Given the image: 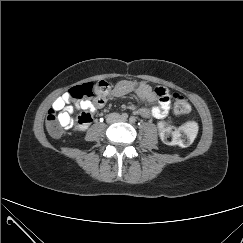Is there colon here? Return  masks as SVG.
<instances>
[{"mask_svg":"<svg viewBox=\"0 0 243 243\" xmlns=\"http://www.w3.org/2000/svg\"><path fill=\"white\" fill-rule=\"evenodd\" d=\"M111 86L107 81L101 80L97 83H84L72 87L68 93L72 99L88 100L94 95H105L109 93ZM155 93L160 100L170 99L169 91L164 87L155 88ZM174 99L173 111L177 115H185L190 112V104L181 94L172 95ZM92 121L89 112H83L78 117V127L88 125ZM46 127L49 134L53 137H59L63 132V126L58 118L57 112L52 108L46 116ZM198 126L194 121H187L178 129L168 122L159 123V132L161 139L166 144L187 146L197 135Z\"/></svg>","mask_w":243,"mask_h":243,"instance_id":"5ec220e1","label":"colon"}]
</instances>
